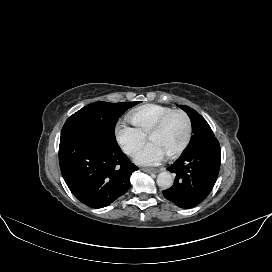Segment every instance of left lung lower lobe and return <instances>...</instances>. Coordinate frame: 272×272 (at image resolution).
I'll list each match as a JSON object with an SVG mask.
<instances>
[{
    "instance_id": "obj_1",
    "label": "left lung lower lobe",
    "mask_w": 272,
    "mask_h": 272,
    "mask_svg": "<svg viewBox=\"0 0 272 272\" xmlns=\"http://www.w3.org/2000/svg\"><path fill=\"white\" fill-rule=\"evenodd\" d=\"M220 145L212 139L187 149L168 170L176 174L171 188L164 190L166 199L180 208H192L210 193L220 169Z\"/></svg>"
}]
</instances>
